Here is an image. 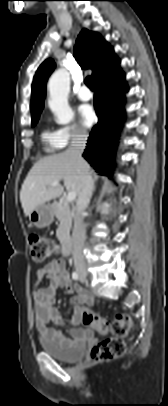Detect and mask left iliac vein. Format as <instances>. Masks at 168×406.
Masks as SVG:
<instances>
[{
    "instance_id": "1",
    "label": "left iliac vein",
    "mask_w": 168,
    "mask_h": 406,
    "mask_svg": "<svg viewBox=\"0 0 168 406\" xmlns=\"http://www.w3.org/2000/svg\"><path fill=\"white\" fill-rule=\"evenodd\" d=\"M80 281H81V282H85V279L80 277Z\"/></svg>"
}]
</instances>
